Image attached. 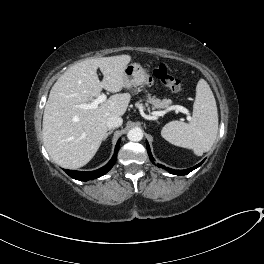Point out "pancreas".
<instances>
[{"label":"pancreas","instance_id":"1","mask_svg":"<svg viewBox=\"0 0 264 264\" xmlns=\"http://www.w3.org/2000/svg\"><path fill=\"white\" fill-rule=\"evenodd\" d=\"M172 101L170 99H159L156 97H148L146 107L150 109L149 104H152V109H162V108H167Z\"/></svg>","mask_w":264,"mask_h":264}]
</instances>
